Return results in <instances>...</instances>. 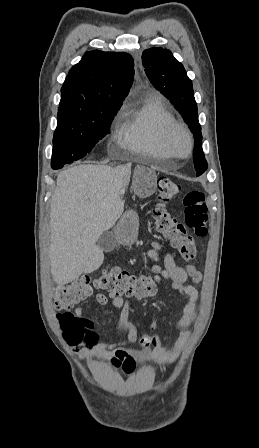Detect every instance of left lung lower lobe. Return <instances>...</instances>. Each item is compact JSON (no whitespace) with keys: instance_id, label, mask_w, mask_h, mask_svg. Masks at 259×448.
<instances>
[{"instance_id":"obj_1","label":"left lung lower lobe","mask_w":259,"mask_h":448,"mask_svg":"<svg viewBox=\"0 0 259 448\" xmlns=\"http://www.w3.org/2000/svg\"><path fill=\"white\" fill-rule=\"evenodd\" d=\"M202 173H197V176L201 175Z\"/></svg>"}]
</instances>
